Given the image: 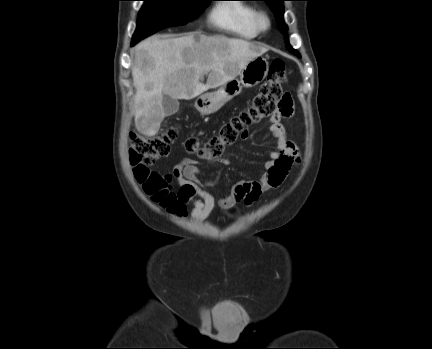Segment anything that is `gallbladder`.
<instances>
[{
  "label": "gallbladder",
  "mask_w": 432,
  "mask_h": 349,
  "mask_svg": "<svg viewBox=\"0 0 432 349\" xmlns=\"http://www.w3.org/2000/svg\"><path fill=\"white\" fill-rule=\"evenodd\" d=\"M162 105L165 116H171L179 110V101L169 95L163 96Z\"/></svg>",
  "instance_id": "1"
}]
</instances>
